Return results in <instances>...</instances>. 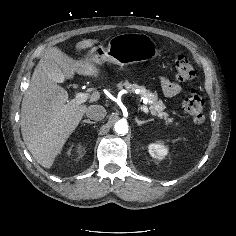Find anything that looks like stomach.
I'll use <instances>...</instances> for the list:
<instances>
[{
    "label": "stomach",
    "mask_w": 236,
    "mask_h": 236,
    "mask_svg": "<svg viewBox=\"0 0 236 236\" xmlns=\"http://www.w3.org/2000/svg\"><path fill=\"white\" fill-rule=\"evenodd\" d=\"M159 49L151 37L144 33H123L112 37L105 48L93 47L89 52L96 64L110 62L125 66L156 58Z\"/></svg>",
    "instance_id": "1"
}]
</instances>
